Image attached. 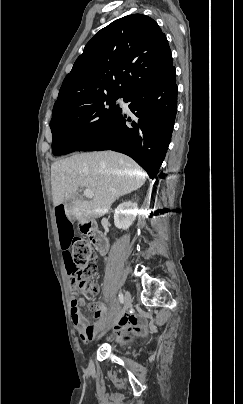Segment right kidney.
Wrapping results in <instances>:
<instances>
[{
  "label": "right kidney",
  "instance_id": "1",
  "mask_svg": "<svg viewBox=\"0 0 243 404\" xmlns=\"http://www.w3.org/2000/svg\"><path fill=\"white\" fill-rule=\"evenodd\" d=\"M137 214L131 210V202H124L114 212V224L119 230H128L136 220Z\"/></svg>",
  "mask_w": 243,
  "mask_h": 404
}]
</instances>
